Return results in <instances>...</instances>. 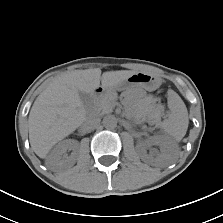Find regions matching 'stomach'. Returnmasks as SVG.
Listing matches in <instances>:
<instances>
[{
    "mask_svg": "<svg viewBox=\"0 0 223 223\" xmlns=\"http://www.w3.org/2000/svg\"><path fill=\"white\" fill-rule=\"evenodd\" d=\"M161 85V79L152 74L137 72L131 75L126 81L117 84L114 87H102L103 91H126L133 88H142L147 91H154Z\"/></svg>",
    "mask_w": 223,
    "mask_h": 223,
    "instance_id": "0dacf381",
    "label": "stomach"
}]
</instances>
